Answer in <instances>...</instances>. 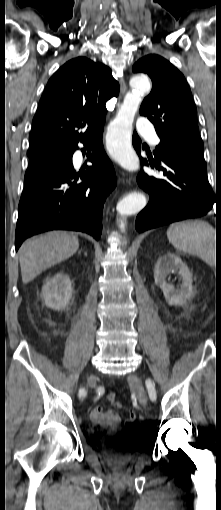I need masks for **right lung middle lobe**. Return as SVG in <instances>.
<instances>
[{"label": "right lung middle lobe", "instance_id": "right-lung-middle-lobe-1", "mask_svg": "<svg viewBox=\"0 0 221 510\" xmlns=\"http://www.w3.org/2000/svg\"><path fill=\"white\" fill-rule=\"evenodd\" d=\"M67 155L68 149L60 148H45L28 152L27 153V156L29 157L28 168L60 162L63 161L67 157Z\"/></svg>", "mask_w": 221, "mask_h": 510}]
</instances>
